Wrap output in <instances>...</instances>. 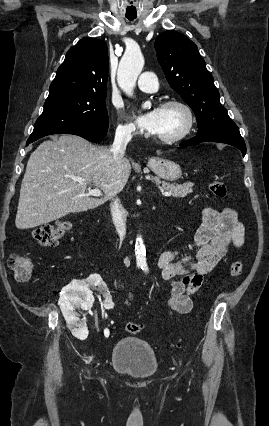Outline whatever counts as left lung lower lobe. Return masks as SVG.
I'll return each mask as SVG.
<instances>
[{
    "instance_id": "1",
    "label": "left lung lower lobe",
    "mask_w": 269,
    "mask_h": 426,
    "mask_svg": "<svg viewBox=\"0 0 269 426\" xmlns=\"http://www.w3.org/2000/svg\"><path fill=\"white\" fill-rule=\"evenodd\" d=\"M199 142H221L238 148L243 156L246 153L245 142L239 132L237 125L233 122L223 123L217 127L198 129L197 135L180 145Z\"/></svg>"
}]
</instances>
